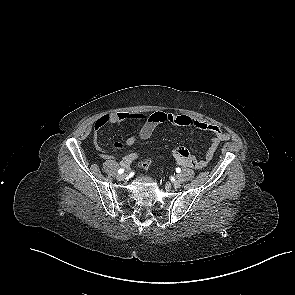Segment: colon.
<instances>
[{
  "mask_svg": "<svg viewBox=\"0 0 295 295\" xmlns=\"http://www.w3.org/2000/svg\"><path fill=\"white\" fill-rule=\"evenodd\" d=\"M177 149V148H176ZM175 149V150H176ZM174 150V151H175ZM150 160L149 159H146V160H144V161H142L141 163H140V166L142 167V168H144V169H147V168H149V166H150Z\"/></svg>",
  "mask_w": 295,
  "mask_h": 295,
  "instance_id": "1",
  "label": "colon"
}]
</instances>
